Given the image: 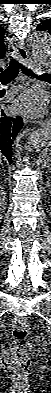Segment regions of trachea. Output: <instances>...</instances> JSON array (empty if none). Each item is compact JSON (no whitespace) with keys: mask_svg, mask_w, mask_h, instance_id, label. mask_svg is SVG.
Masks as SVG:
<instances>
[{"mask_svg":"<svg viewBox=\"0 0 51 393\" xmlns=\"http://www.w3.org/2000/svg\"><path fill=\"white\" fill-rule=\"evenodd\" d=\"M9 51L12 53L14 50L10 48ZM19 70H21L26 75L36 76V73L33 71V69L23 65L16 58L11 57L10 65L0 73L1 83L6 84L15 79L19 73Z\"/></svg>","mask_w":51,"mask_h":393,"instance_id":"trachea-1","label":"trachea"}]
</instances>
